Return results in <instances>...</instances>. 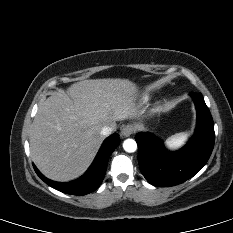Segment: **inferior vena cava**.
Listing matches in <instances>:
<instances>
[{"instance_id":"602c4592","label":"inferior vena cava","mask_w":233,"mask_h":233,"mask_svg":"<svg viewBox=\"0 0 233 233\" xmlns=\"http://www.w3.org/2000/svg\"><path fill=\"white\" fill-rule=\"evenodd\" d=\"M114 128L111 127V126H104L102 129H101V134L103 136H108L110 135L112 132H113Z\"/></svg>"}]
</instances>
